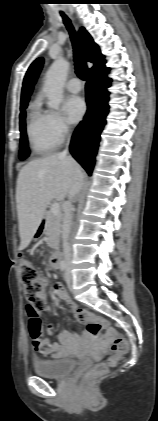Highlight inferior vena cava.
Wrapping results in <instances>:
<instances>
[{
	"label": "inferior vena cava",
	"instance_id": "602c4592",
	"mask_svg": "<svg viewBox=\"0 0 158 421\" xmlns=\"http://www.w3.org/2000/svg\"><path fill=\"white\" fill-rule=\"evenodd\" d=\"M70 140V137H69ZM68 145L66 149L60 153L61 156H65L68 152ZM84 184L83 174L80 170H77L74 175L73 183L68 191L69 200L66 202V208L63 216V226H62V239H63V249H64V258L67 265L71 262V248L68 242L71 225H72V200L80 192Z\"/></svg>",
	"mask_w": 158,
	"mask_h": 421
}]
</instances>
